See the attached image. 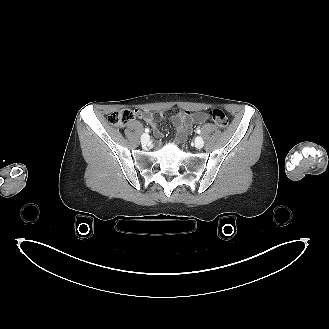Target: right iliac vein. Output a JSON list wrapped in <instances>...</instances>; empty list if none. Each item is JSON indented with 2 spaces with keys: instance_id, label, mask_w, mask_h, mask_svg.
I'll return each instance as SVG.
<instances>
[{
  "instance_id": "63e3f726",
  "label": "right iliac vein",
  "mask_w": 329,
  "mask_h": 329,
  "mask_svg": "<svg viewBox=\"0 0 329 329\" xmlns=\"http://www.w3.org/2000/svg\"><path fill=\"white\" fill-rule=\"evenodd\" d=\"M140 140L142 144H147L150 140V136L147 133H144Z\"/></svg>"
}]
</instances>
